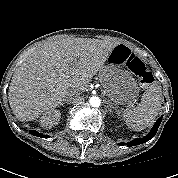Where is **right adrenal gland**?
<instances>
[{
  "label": "right adrenal gland",
  "instance_id": "right-adrenal-gland-1",
  "mask_svg": "<svg viewBox=\"0 0 178 178\" xmlns=\"http://www.w3.org/2000/svg\"><path fill=\"white\" fill-rule=\"evenodd\" d=\"M71 102V97H68L64 102L61 103V106H64V104H69Z\"/></svg>",
  "mask_w": 178,
  "mask_h": 178
}]
</instances>
